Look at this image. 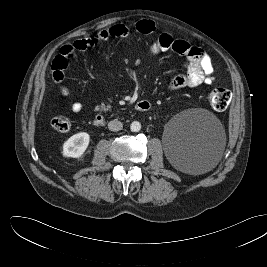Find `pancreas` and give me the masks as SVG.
Returning a JSON list of instances; mask_svg holds the SVG:
<instances>
[{
	"instance_id": "pancreas-1",
	"label": "pancreas",
	"mask_w": 267,
	"mask_h": 267,
	"mask_svg": "<svg viewBox=\"0 0 267 267\" xmlns=\"http://www.w3.org/2000/svg\"><path fill=\"white\" fill-rule=\"evenodd\" d=\"M96 109H97V110L100 109V110L108 111V110L111 109V105L108 104V105L106 106L104 103H101L100 108L97 107Z\"/></svg>"
}]
</instances>
